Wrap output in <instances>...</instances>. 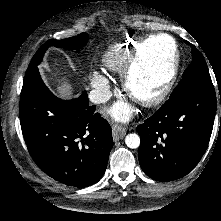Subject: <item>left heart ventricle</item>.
Masks as SVG:
<instances>
[{"instance_id": "1", "label": "left heart ventricle", "mask_w": 221, "mask_h": 221, "mask_svg": "<svg viewBox=\"0 0 221 221\" xmlns=\"http://www.w3.org/2000/svg\"><path fill=\"white\" fill-rule=\"evenodd\" d=\"M171 52L172 44L165 37H156L144 47L132 79L134 94L146 95L149 87L163 82Z\"/></svg>"}]
</instances>
